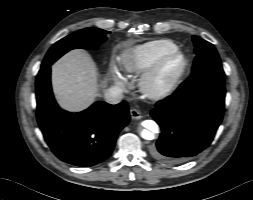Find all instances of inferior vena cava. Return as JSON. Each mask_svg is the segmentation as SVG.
Listing matches in <instances>:
<instances>
[{
  "label": "inferior vena cava",
  "instance_id": "inferior-vena-cava-1",
  "mask_svg": "<svg viewBox=\"0 0 253 200\" xmlns=\"http://www.w3.org/2000/svg\"><path fill=\"white\" fill-rule=\"evenodd\" d=\"M104 99L109 104H118L123 99L122 90L118 87H110L104 93Z\"/></svg>",
  "mask_w": 253,
  "mask_h": 200
}]
</instances>
